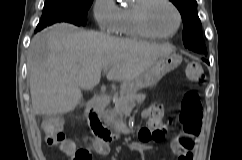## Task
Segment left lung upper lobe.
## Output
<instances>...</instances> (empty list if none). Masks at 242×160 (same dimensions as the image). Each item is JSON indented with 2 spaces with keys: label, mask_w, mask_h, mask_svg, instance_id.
Returning <instances> with one entry per match:
<instances>
[{
  "label": "left lung upper lobe",
  "mask_w": 242,
  "mask_h": 160,
  "mask_svg": "<svg viewBox=\"0 0 242 160\" xmlns=\"http://www.w3.org/2000/svg\"><path fill=\"white\" fill-rule=\"evenodd\" d=\"M180 11L183 21L184 46L198 54L207 55L202 26L197 14L196 0H170Z\"/></svg>",
  "instance_id": "obj_1"
}]
</instances>
